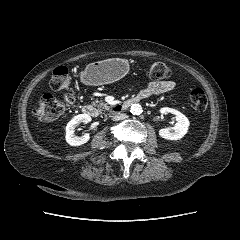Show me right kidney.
Here are the masks:
<instances>
[{"label":"right kidney","mask_w":240,"mask_h":240,"mask_svg":"<svg viewBox=\"0 0 240 240\" xmlns=\"http://www.w3.org/2000/svg\"><path fill=\"white\" fill-rule=\"evenodd\" d=\"M91 121V117L88 114H79L70 120L66 126V142L70 144L71 146H79L84 143H87L90 139L89 134H85L82 137L76 136L74 134L75 127L79 125L80 123L87 124Z\"/></svg>","instance_id":"ca27d5eb"}]
</instances>
